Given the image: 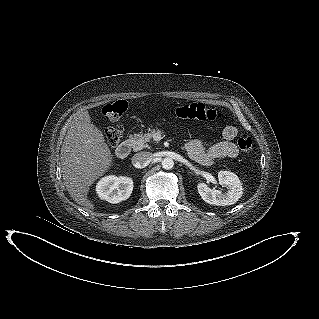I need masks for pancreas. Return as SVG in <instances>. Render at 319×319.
I'll list each match as a JSON object with an SVG mask.
<instances>
[{"label":"pancreas","instance_id":"1","mask_svg":"<svg viewBox=\"0 0 319 319\" xmlns=\"http://www.w3.org/2000/svg\"><path fill=\"white\" fill-rule=\"evenodd\" d=\"M161 131L159 129H149L148 133L144 134H134L131 137V146L134 151L142 150L143 148H147L148 142L152 141V137L155 133H160Z\"/></svg>","mask_w":319,"mask_h":319}]
</instances>
